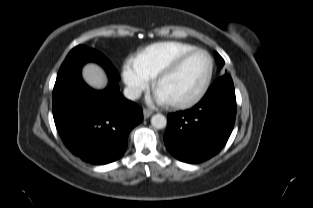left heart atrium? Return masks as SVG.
I'll list each match as a JSON object with an SVG mask.
<instances>
[{
	"mask_svg": "<svg viewBox=\"0 0 313 208\" xmlns=\"http://www.w3.org/2000/svg\"><path fill=\"white\" fill-rule=\"evenodd\" d=\"M159 100H160L161 102H165V100H164L163 98H161V97H159Z\"/></svg>",
	"mask_w": 313,
	"mask_h": 208,
	"instance_id": "left-heart-atrium-1",
	"label": "left heart atrium"
}]
</instances>
